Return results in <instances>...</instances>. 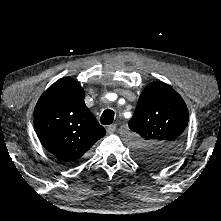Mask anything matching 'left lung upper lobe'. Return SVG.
<instances>
[{
	"instance_id": "obj_1",
	"label": "left lung upper lobe",
	"mask_w": 221,
	"mask_h": 221,
	"mask_svg": "<svg viewBox=\"0 0 221 221\" xmlns=\"http://www.w3.org/2000/svg\"><path fill=\"white\" fill-rule=\"evenodd\" d=\"M189 119L181 96L163 82H152L141 93L129 128L137 134L134 157L143 165L162 169L176 157Z\"/></svg>"
}]
</instances>
